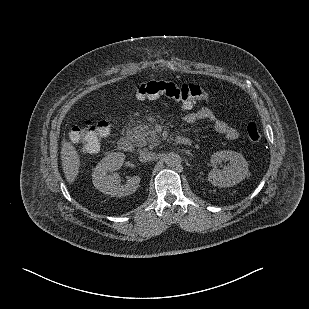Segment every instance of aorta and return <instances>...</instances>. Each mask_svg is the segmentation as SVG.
<instances>
[{"label": "aorta", "mask_w": 309, "mask_h": 309, "mask_svg": "<svg viewBox=\"0 0 309 309\" xmlns=\"http://www.w3.org/2000/svg\"><path fill=\"white\" fill-rule=\"evenodd\" d=\"M165 164L169 167H175L180 164L181 157L176 152H169L164 158Z\"/></svg>", "instance_id": "obj_1"}]
</instances>
